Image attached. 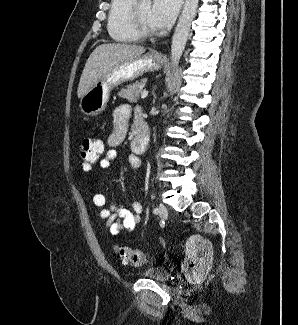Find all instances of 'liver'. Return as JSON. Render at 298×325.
<instances>
[{"label":"liver","instance_id":"obj_1","mask_svg":"<svg viewBox=\"0 0 298 325\" xmlns=\"http://www.w3.org/2000/svg\"><path fill=\"white\" fill-rule=\"evenodd\" d=\"M145 50V46H140V44H124V42L98 44L89 54L79 78L78 98H82L83 94H86L87 90L96 84L110 68L144 54Z\"/></svg>","mask_w":298,"mask_h":325}]
</instances>
